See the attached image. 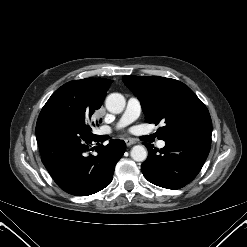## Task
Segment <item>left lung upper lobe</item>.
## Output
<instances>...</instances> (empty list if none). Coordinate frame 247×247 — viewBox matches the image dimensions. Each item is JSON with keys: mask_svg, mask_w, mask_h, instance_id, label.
Returning <instances> with one entry per match:
<instances>
[{"mask_svg": "<svg viewBox=\"0 0 247 247\" xmlns=\"http://www.w3.org/2000/svg\"><path fill=\"white\" fill-rule=\"evenodd\" d=\"M122 79L140 100L146 121L165 123L157 131L159 139L195 131L212 132L206 106L184 83L159 76H123Z\"/></svg>", "mask_w": 247, "mask_h": 247, "instance_id": "left-lung-upper-lobe-1", "label": "left lung upper lobe"}]
</instances>
